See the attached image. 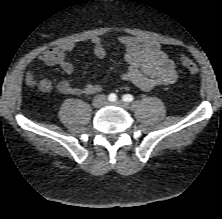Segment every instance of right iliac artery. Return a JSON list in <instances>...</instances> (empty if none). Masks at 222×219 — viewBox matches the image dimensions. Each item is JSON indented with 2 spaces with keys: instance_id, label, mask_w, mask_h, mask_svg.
Returning a JSON list of instances; mask_svg holds the SVG:
<instances>
[{
  "instance_id": "1",
  "label": "right iliac artery",
  "mask_w": 222,
  "mask_h": 219,
  "mask_svg": "<svg viewBox=\"0 0 222 219\" xmlns=\"http://www.w3.org/2000/svg\"><path fill=\"white\" fill-rule=\"evenodd\" d=\"M108 100L111 101V102L116 101V100H117L116 94L111 93V94L108 96Z\"/></svg>"
}]
</instances>
